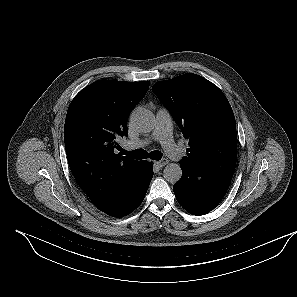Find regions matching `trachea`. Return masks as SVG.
I'll return each mask as SVG.
<instances>
[{"label": "trachea", "mask_w": 297, "mask_h": 297, "mask_svg": "<svg viewBox=\"0 0 297 297\" xmlns=\"http://www.w3.org/2000/svg\"><path fill=\"white\" fill-rule=\"evenodd\" d=\"M122 153L125 155H130L135 159H146V158H151L153 160H160L162 158V153L158 150L152 151L148 153L144 149H136L134 151L128 152L126 150L122 149Z\"/></svg>", "instance_id": "trachea-1"}]
</instances>
